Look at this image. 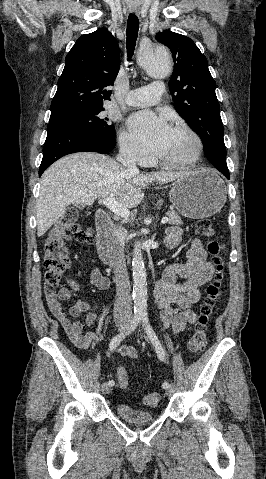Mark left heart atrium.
I'll use <instances>...</instances> for the list:
<instances>
[{
    "mask_svg": "<svg viewBox=\"0 0 266 479\" xmlns=\"http://www.w3.org/2000/svg\"><path fill=\"white\" fill-rule=\"evenodd\" d=\"M128 127L133 138L141 146L158 156L166 149L173 131L164 117L148 110L131 115Z\"/></svg>",
    "mask_w": 266,
    "mask_h": 479,
    "instance_id": "39dd6f15",
    "label": "left heart atrium"
}]
</instances>
